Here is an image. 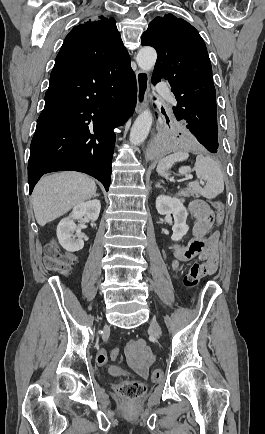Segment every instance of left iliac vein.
Listing matches in <instances>:
<instances>
[{"label": "left iliac vein", "mask_w": 265, "mask_h": 434, "mask_svg": "<svg viewBox=\"0 0 265 434\" xmlns=\"http://www.w3.org/2000/svg\"><path fill=\"white\" fill-rule=\"evenodd\" d=\"M151 327L155 330V333L157 335L161 336L162 331H161V328H160V326H159V324L157 323L156 320H152L151 321Z\"/></svg>", "instance_id": "1"}]
</instances>
